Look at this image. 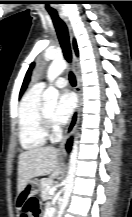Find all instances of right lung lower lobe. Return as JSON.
Instances as JSON below:
<instances>
[{"mask_svg":"<svg viewBox=\"0 0 132 217\" xmlns=\"http://www.w3.org/2000/svg\"><path fill=\"white\" fill-rule=\"evenodd\" d=\"M71 144H72V139H69L68 143L66 145L68 151H70V149H71Z\"/></svg>","mask_w":132,"mask_h":217,"instance_id":"obj_1","label":"right lung lower lobe"}]
</instances>
